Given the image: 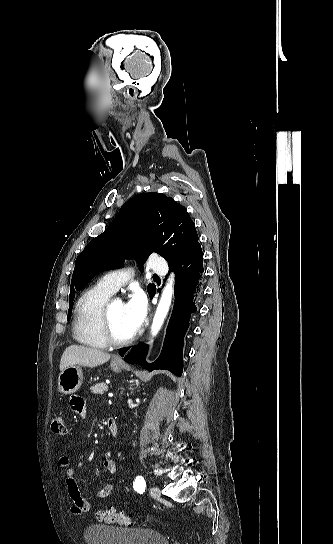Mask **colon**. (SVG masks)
Listing matches in <instances>:
<instances>
[{"label":"colon","instance_id":"1","mask_svg":"<svg viewBox=\"0 0 333 544\" xmlns=\"http://www.w3.org/2000/svg\"><path fill=\"white\" fill-rule=\"evenodd\" d=\"M52 431L57 435H66L67 427L62 417H55L51 424ZM95 518L103 523L121 524L130 526L134 524V518L130 513L120 512L114 509L98 512Z\"/></svg>","mask_w":333,"mask_h":544}]
</instances>
